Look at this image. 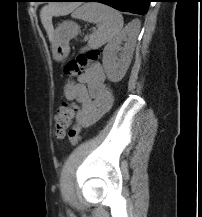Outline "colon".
Segmentation results:
<instances>
[{"label": "colon", "instance_id": "obj_1", "mask_svg": "<svg viewBox=\"0 0 202 217\" xmlns=\"http://www.w3.org/2000/svg\"><path fill=\"white\" fill-rule=\"evenodd\" d=\"M99 57L97 50H90L86 53L79 54L76 58L69 61L64 67V74L67 76L80 75L86 66L96 61ZM74 114V108L64 103L62 104L54 116V132L57 138L61 139L66 134L72 144H77L81 138V127L73 126L70 128Z\"/></svg>", "mask_w": 202, "mask_h": 217}]
</instances>
